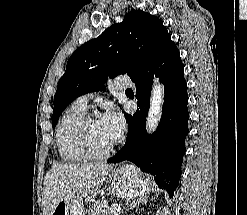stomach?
<instances>
[{
	"label": "stomach",
	"instance_id": "obj_1",
	"mask_svg": "<svg viewBox=\"0 0 247 215\" xmlns=\"http://www.w3.org/2000/svg\"><path fill=\"white\" fill-rule=\"evenodd\" d=\"M108 182L112 191L120 198L130 199L149 192V179L143 180L134 166L127 165L113 171ZM81 199H63L51 215H84Z\"/></svg>",
	"mask_w": 247,
	"mask_h": 215
}]
</instances>
